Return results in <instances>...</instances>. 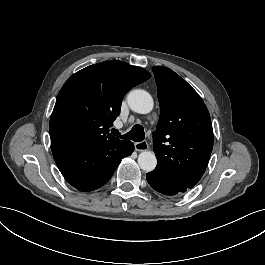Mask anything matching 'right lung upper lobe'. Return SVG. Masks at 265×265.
I'll return each mask as SVG.
<instances>
[{
  "mask_svg": "<svg viewBox=\"0 0 265 265\" xmlns=\"http://www.w3.org/2000/svg\"><path fill=\"white\" fill-rule=\"evenodd\" d=\"M150 73L118 60L90 65L61 88L49 125L52 141L99 144L119 140L109 127L120 113L124 95Z\"/></svg>",
  "mask_w": 265,
  "mask_h": 265,
  "instance_id": "cb5924a9",
  "label": "right lung upper lobe"
}]
</instances>
